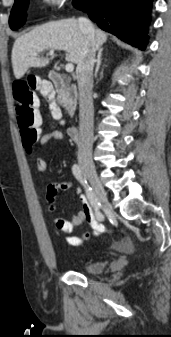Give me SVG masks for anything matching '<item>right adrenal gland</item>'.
<instances>
[{
    "mask_svg": "<svg viewBox=\"0 0 171 337\" xmlns=\"http://www.w3.org/2000/svg\"><path fill=\"white\" fill-rule=\"evenodd\" d=\"M102 52H103V49H99V51H98V56H97V60H96L95 76H97L98 71H99V69H100V66H101V64H102V62H101Z\"/></svg>",
    "mask_w": 171,
    "mask_h": 337,
    "instance_id": "right-adrenal-gland-1",
    "label": "right adrenal gland"
}]
</instances>
